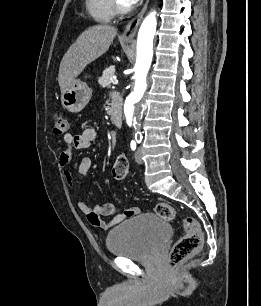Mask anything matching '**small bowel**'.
I'll use <instances>...</instances> for the list:
<instances>
[{
    "instance_id": "small-bowel-1",
    "label": "small bowel",
    "mask_w": 261,
    "mask_h": 306,
    "mask_svg": "<svg viewBox=\"0 0 261 306\" xmlns=\"http://www.w3.org/2000/svg\"><path fill=\"white\" fill-rule=\"evenodd\" d=\"M97 138V132L94 128H85L78 134L66 133L63 137L66 145L65 150L60 154L59 163L65 168L64 176L69 184H73V174L67 169L73 157V150H82L91 147ZM92 160L89 157L81 158L78 165V173L81 177H86L91 169ZM78 208L86 215L88 221L96 228L106 231L119 224L123 220L138 213L137 208H129L123 213L116 214V206L111 202H105L101 205L89 206L84 201L78 202ZM111 217L110 220L105 218Z\"/></svg>"
}]
</instances>
